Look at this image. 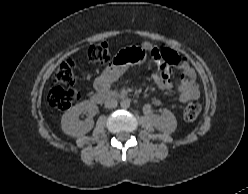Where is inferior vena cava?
I'll return each instance as SVG.
<instances>
[{
  "label": "inferior vena cava",
  "instance_id": "602c4592",
  "mask_svg": "<svg viewBox=\"0 0 248 194\" xmlns=\"http://www.w3.org/2000/svg\"><path fill=\"white\" fill-rule=\"evenodd\" d=\"M117 105H118V103L115 99H107L105 101V107L106 108L112 109V108L117 107Z\"/></svg>",
  "mask_w": 248,
  "mask_h": 194
}]
</instances>
